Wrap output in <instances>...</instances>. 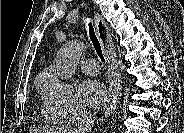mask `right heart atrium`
<instances>
[{
  "label": "right heart atrium",
  "instance_id": "1",
  "mask_svg": "<svg viewBox=\"0 0 184 133\" xmlns=\"http://www.w3.org/2000/svg\"><path fill=\"white\" fill-rule=\"evenodd\" d=\"M44 114L56 122H67L85 112L73 87L50 72L40 83Z\"/></svg>",
  "mask_w": 184,
  "mask_h": 133
}]
</instances>
